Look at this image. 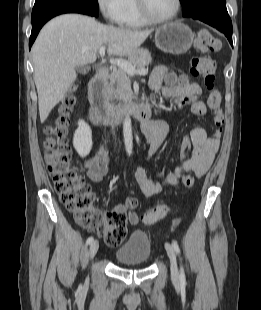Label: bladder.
<instances>
[{
  "mask_svg": "<svg viewBox=\"0 0 261 310\" xmlns=\"http://www.w3.org/2000/svg\"><path fill=\"white\" fill-rule=\"evenodd\" d=\"M151 241L143 231H133L115 252V259L128 265L145 264L151 257Z\"/></svg>",
  "mask_w": 261,
  "mask_h": 310,
  "instance_id": "bladder-1",
  "label": "bladder"
}]
</instances>
